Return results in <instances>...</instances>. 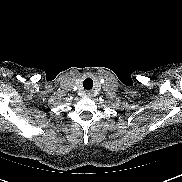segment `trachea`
<instances>
[{
  "label": "trachea",
  "instance_id": "trachea-1",
  "mask_svg": "<svg viewBox=\"0 0 182 182\" xmlns=\"http://www.w3.org/2000/svg\"><path fill=\"white\" fill-rule=\"evenodd\" d=\"M83 87H84V89H92V87H93V80L91 78H86L83 81Z\"/></svg>",
  "mask_w": 182,
  "mask_h": 182
}]
</instances>
